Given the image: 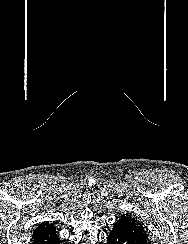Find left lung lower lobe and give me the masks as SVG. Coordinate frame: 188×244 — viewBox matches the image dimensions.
<instances>
[{"instance_id":"1","label":"left lung lower lobe","mask_w":188,"mask_h":244,"mask_svg":"<svg viewBox=\"0 0 188 244\" xmlns=\"http://www.w3.org/2000/svg\"><path fill=\"white\" fill-rule=\"evenodd\" d=\"M108 244H149L147 232L129 216H121L107 238Z\"/></svg>"}]
</instances>
